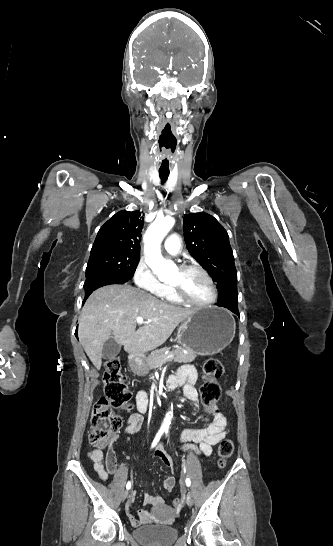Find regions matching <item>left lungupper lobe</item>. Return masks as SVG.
I'll return each mask as SVG.
<instances>
[{
  "mask_svg": "<svg viewBox=\"0 0 333 546\" xmlns=\"http://www.w3.org/2000/svg\"><path fill=\"white\" fill-rule=\"evenodd\" d=\"M187 249L217 283L218 303L234 299L237 271L227 231L211 215L192 213L183 217Z\"/></svg>",
  "mask_w": 333,
  "mask_h": 546,
  "instance_id": "left-lung-upper-lobe-1",
  "label": "left lung upper lobe"
}]
</instances>
